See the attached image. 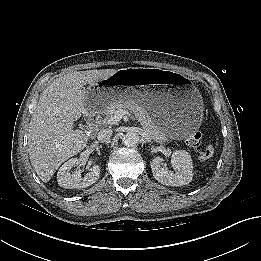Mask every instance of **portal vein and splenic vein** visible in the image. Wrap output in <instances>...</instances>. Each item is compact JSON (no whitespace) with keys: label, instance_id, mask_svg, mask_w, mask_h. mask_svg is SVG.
I'll return each mask as SVG.
<instances>
[{"label":"portal vein and splenic vein","instance_id":"18ae733b","mask_svg":"<svg viewBox=\"0 0 261 261\" xmlns=\"http://www.w3.org/2000/svg\"><path fill=\"white\" fill-rule=\"evenodd\" d=\"M124 115H129V112L124 109H119L114 113L109 122L116 124L123 118Z\"/></svg>","mask_w":261,"mask_h":261}]
</instances>
